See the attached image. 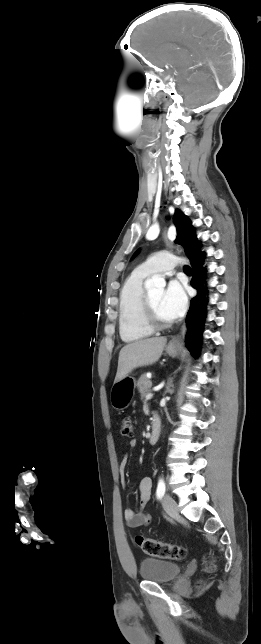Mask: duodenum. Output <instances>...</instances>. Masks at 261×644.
<instances>
[{
  "mask_svg": "<svg viewBox=\"0 0 261 644\" xmlns=\"http://www.w3.org/2000/svg\"><path fill=\"white\" fill-rule=\"evenodd\" d=\"M160 433H161V421L157 416H155L153 419L152 428L149 434V439H148L149 443L155 444L159 440Z\"/></svg>",
  "mask_w": 261,
  "mask_h": 644,
  "instance_id": "410a0bca",
  "label": "duodenum"
}]
</instances>
